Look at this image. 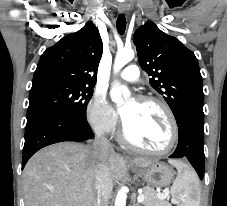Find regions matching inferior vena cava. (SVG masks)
<instances>
[{
  "instance_id": "1",
  "label": "inferior vena cava",
  "mask_w": 227,
  "mask_h": 206,
  "mask_svg": "<svg viewBox=\"0 0 227 206\" xmlns=\"http://www.w3.org/2000/svg\"><path fill=\"white\" fill-rule=\"evenodd\" d=\"M93 149L101 158L95 170L96 197L93 206H108L112 194L113 181L105 164V160L107 155L113 152V148L106 137L96 135Z\"/></svg>"
}]
</instances>
